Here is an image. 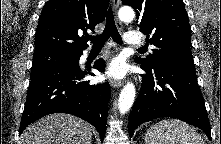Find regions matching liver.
<instances>
[{
    "label": "liver",
    "instance_id": "6515ba94",
    "mask_svg": "<svg viewBox=\"0 0 221 144\" xmlns=\"http://www.w3.org/2000/svg\"><path fill=\"white\" fill-rule=\"evenodd\" d=\"M19 144H91L92 127L73 115L42 117L22 133Z\"/></svg>",
    "mask_w": 221,
    "mask_h": 144
}]
</instances>
